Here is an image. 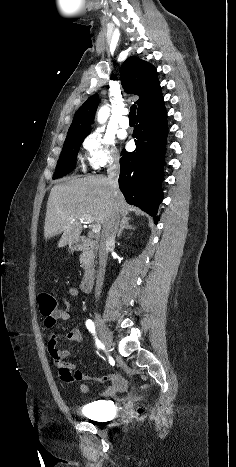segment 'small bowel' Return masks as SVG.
Instances as JSON below:
<instances>
[{
  "instance_id": "c3829d8e",
  "label": "small bowel",
  "mask_w": 236,
  "mask_h": 467,
  "mask_svg": "<svg viewBox=\"0 0 236 467\" xmlns=\"http://www.w3.org/2000/svg\"><path fill=\"white\" fill-rule=\"evenodd\" d=\"M68 294L72 298H76L79 294L78 289L71 286L68 288ZM61 306L52 315L46 316L44 319V325L48 329L54 328L58 320H68L69 310L71 304L65 297H60ZM67 339L70 342H80L81 334L78 330L72 329L67 334ZM48 350L54 364L59 369V376L62 381L66 383H74L79 381L94 380L97 382L108 383L109 386L100 392L102 397H110L115 395L117 392L123 391L126 387V381L117 374L110 373L99 377H91L86 375L81 370L77 369L73 364L66 362L65 359L68 356V351L61 350L57 346V338L54 333L49 335L48 339ZM80 390L83 393L90 391V386L86 383L80 385Z\"/></svg>"
}]
</instances>
